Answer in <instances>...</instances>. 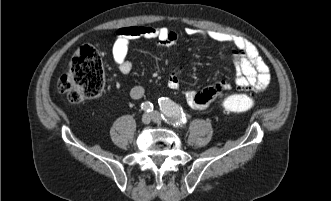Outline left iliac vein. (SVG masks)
Instances as JSON below:
<instances>
[{
    "label": "left iliac vein",
    "instance_id": "left-iliac-vein-1",
    "mask_svg": "<svg viewBox=\"0 0 331 201\" xmlns=\"http://www.w3.org/2000/svg\"><path fill=\"white\" fill-rule=\"evenodd\" d=\"M152 119L155 123H160L161 122V116L159 114V112L154 111L151 113Z\"/></svg>",
    "mask_w": 331,
    "mask_h": 201
}]
</instances>
